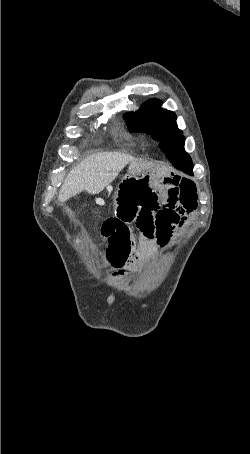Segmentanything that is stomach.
Returning a JSON list of instances; mask_svg holds the SVG:
<instances>
[{
    "label": "stomach",
    "instance_id": "obj_1",
    "mask_svg": "<svg viewBox=\"0 0 250 454\" xmlns=\"http://www.w3.org/2000/svg\"><path fill=\"white\" fill-rule=\"evenodd\" d=\"M124 176H154V173L147 165L132 162L129 165L128 172Z\"/></svg>",
    "mask_w": 250,
    "mask_h": 454
}]
</instances>
